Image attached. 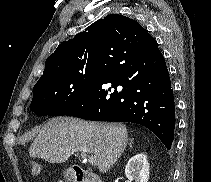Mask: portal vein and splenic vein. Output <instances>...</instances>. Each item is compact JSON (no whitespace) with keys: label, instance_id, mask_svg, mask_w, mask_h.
Wrapping results in <instances>:
<instances>
[{"label":"portal vein and splenic vein","instance_id":"18ae733b","mask_svg":"<svg viewBox=\"0 0 211 182\" xmlns=\"http://www.w3.org/2000/svg\"><path fill=\"white\" fill-rule=\"evenodd\" d=\"M88 161L92 165H96L97 164L96 158L93 155L88 156Z\"/></svg>","mask_w":211,"mask_h":182}]
</instances>
